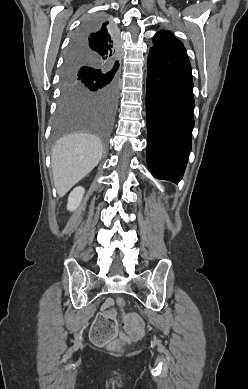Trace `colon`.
Listing matches in <instances>:
<instances>
[{"label":"colon","instance_id":"obj_1","mask_svg":"<svg viewBox=\"0 0 248 389\" xmlns=\"http://www.w3.org/2000/svg\"><path fill=\"white\" fill-rule=\"evenodd\" d=\"M117 304L120 307L126 305V300L122 297L117 299ZM94 316L96 322L92 323L91 337L94 339L95 344H108L107 348L113 353H119L122 351L125 341L122 339H115L111 341L110 337H116L118 335L117 322L115 318H109L105 315L104 311H95Z\"/></svg>","mask_w":248,"mask_h":389}]
</instances>
